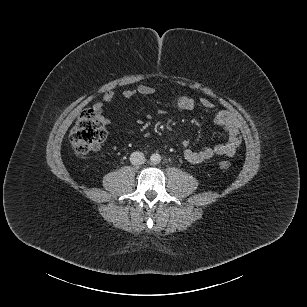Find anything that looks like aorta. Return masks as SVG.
<instances>
[{
	"mask_svg": "<svg viewBox=\"0 0 307 307\" xmlns=\"http://www.w3.org/2000/svg\"><path fill=\"white\" fill-rule=\"evenodd\" d=\"M150 162L152 164H159L161 162V155L158 153H154L150 156Z\"/></svg>",
	"mask_w": 307,
	"mask_h": 307,
	"instance_id": "aorta-1",
	"label": "aorta"
}]
</instances>
